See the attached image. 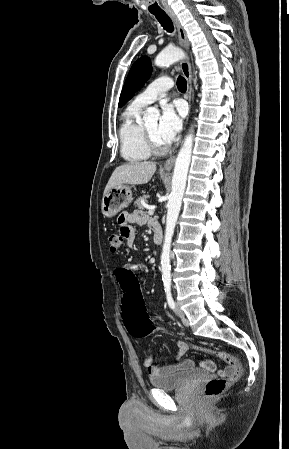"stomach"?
<instances>
[{"label":"stomach","mask_w":289,"mask_h":449,"mask_svg":"<svg viewBox=\"0 0 289 449\" xmlns=\"http://www.w3.org/2000/svg\"><path fill=\"white\" fill-rule=\"evenodd\" d=\"M133 200L131 187L121 184L111 188L102 199L101 210L105 217H113Z\"/></svg>","instance_id":"1"}]
</instances>
